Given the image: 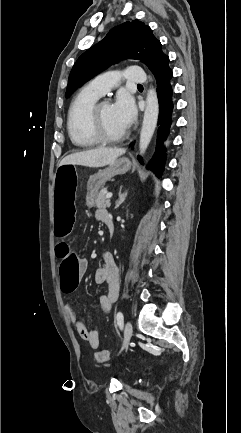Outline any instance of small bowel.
Here are the masks:
<instances>
[{
  "label": "small bowel",
  "mask_w": 241,
  "mask_h": 433,
  "mask_svg": "<svg viewBox=\"0 0 241 433\" xmlns=\"http://www.w3.org/2000/svg\"><path fill=\"white\" fill-rule=\"evenodd\" d=\"M105 216H109V213L104 208H98L95 211V218L98 221L103 222ZM80 268L82 271L86 270L87 262L85 259H80ZM94 280L97 284H105L107 286V293L101 295L99 298L100 308L107 313L111 310L113 303L116 301L120 289L119 267L116 260L111 255L105 254L103 256L102 265L96 269ZM66 311L70 321L76 327L79 336L85 340L92 349H97L99 346L98 331L90 330L86 327L79 319L72 303L67 304Z\"/></svg>",
  "instance_id": "c3829d8e"
}]
</instances>
